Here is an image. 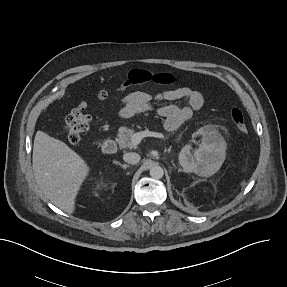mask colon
<instances>
[{
	"label": "colon",
	"mask_w": 287,
	"mask_h": 287,
	"mask_svg": "<svg viewBox=\"0 0 287 287\" xmlns=\"http://www.w3.org/2000/svg\"><path fill=\"white\" fill-rule=\"evenodd\" d=\"M174 81L175 78L169 73H151L146 70L135 69L129 73L125 82L120 86L119 92L123 94L132 87L141 86L149 82L170 85ZM107 97L108 93L105 91L98 93L100 100H105ZM230 117L239 132L245 133L247 131L245 118L240 109L233 108L230 112ZM90 119L86 103L79 104L66 116L64 131L70 143L78 144L81 141L82 135L89 129Z\"/></svg>",
	"instance_id": "colon-1"
}]
</instances>
